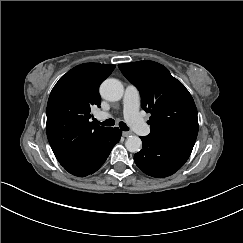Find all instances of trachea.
<instances>
[{
	"label": "trachea",
	"mask_w": 243,
	"mask_h": 243,
	"mask_svg": "<svg viewBox=\"0 0 243 243\" xmlns=\"http://www.w3.org/2000/svg\"><path fill=\"white\" fill-rule=\"evenodd\" d=\"M103 126H113L115 124V120L112 118H109L107 120H105L104 122L100 123ZM119 127L121 128V130L123 131H128L129 128L127 127V125L124 122H119Z\"/></svg>",
	"instance_id": "1"
}]
</instances>
